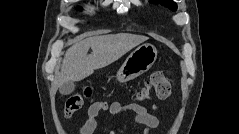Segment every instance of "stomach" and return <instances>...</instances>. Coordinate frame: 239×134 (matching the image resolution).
<instances>
[{"instance_id":"stomach-1","label":"stomach","mask_w":239,"mask_h":134,"mask_svg":"<svg viewBox=\"0 0 239 134\" xmlns=\"http://www.w3.org/2000/svg\"><path fill=\"white\" fill-rule=\"evenodd\" d=\"M157 59V49L152 44H143L136 48L125 60L116 79L127 82L148 71Z\"/></svg>"}]
</instances>
